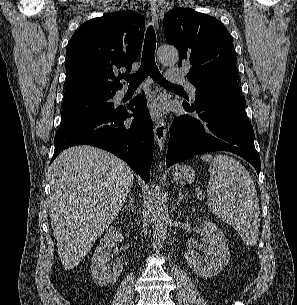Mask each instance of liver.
Segmentation results:
<instances>
[{
	"instance_id": "obj_1",
	"label": "liver",
	"mask_w": 297,
	"mask_h": 305,
	"mask_svg": "<svg viewBox=\"0 0 297 305\" xmlns=\"http://www.w3.org/2000/svg\"><path fill=\"white\" fill-rule=\"evenodd\" d=\"M49 215L62 265L77 266L121 210L133 184L122 160L92 146L61 152L50 167Z\"/></svg>"
}]
</instances>
